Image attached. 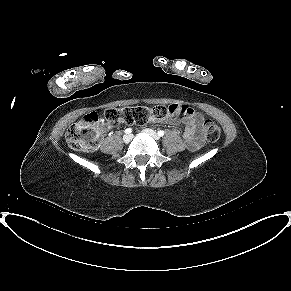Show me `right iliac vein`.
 <instances>
[{"label": "right iliac vein", "instance_id": "63e3f726", "mask_svg": "<svg viewBox=\"0 0 291 291\" xmlns=\"http://www.w3.org/2000/svg\"><path fill=\"white\" fill-rule=\"evenodd\" d=\"M131 139H132V135H131V134H125V135L123 136V141H124V143H126V144H128V143L131 141Z\"/></svg>", "mask_w": 291, "mask_h": 291}]
</instances>
